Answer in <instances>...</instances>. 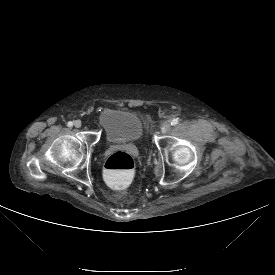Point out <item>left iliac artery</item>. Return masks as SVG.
Segmentation results:
<instances>
[{"instance_id":"44dca946","label":"left iliac artery","mask_w":275,"mask_h":275,"mask_svg":"<svg viewBox=\"0 0 275 275\" xmlns=\"http://www.w3.org/2000/svg\"><path fill=\"white\" fill-rule=\"evenodd\" d=\"M176 124H178V119L177 118L172 119L171 125H176Z\"/></svg>"}]
</instances>
